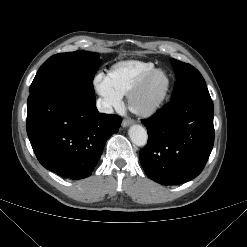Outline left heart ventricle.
<instances>
[{
	"instance_id": "left-heart-ventricle-1",
	"label": "left heart ventricle",
	"mask_w": 247,
	"mask_h": 247,
	"mask_svg": "<svg viewBox=\"0 0 247 247\" xmlns=\"http://www.w3.org/2000/svg\"><path fill=\"white\" fill-rule=\"evenodd\" d=\"M165 83H166V79L164 75L162 74L157 75L151 84V87L148 91V96L152 97L158 95L163 90Z\"/></svg>"
}]
</instances>
